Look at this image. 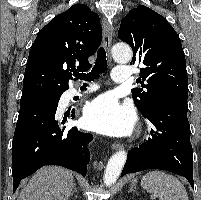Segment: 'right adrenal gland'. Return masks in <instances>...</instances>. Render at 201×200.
I'll return each mask as SVG.
<instances>
[{
	"label": "right adrenal gland",
	"mask_w": 201,
	"mask_h": 200,
	"mask_svg": "<svg viewBox=\"0 0 201 200\" xmlns=\"http://www.w3.org/2000/svg\"><path fill=\"white\" fill-rule=\"evenodd\" d=\"M73 193H77V188H76V185L74 186V189H73V191H72L71 196L73 195Z\"/></svg>",
	"instance_id": "2a0ac1e0"
}]
</instances>
